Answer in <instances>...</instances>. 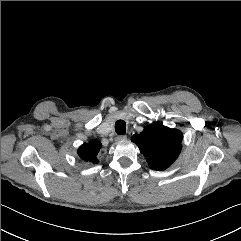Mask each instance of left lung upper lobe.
I'll return each instance as SVG.
<instances>
[{"label": "left lung upper lobe", "instance_id": "5c2ea615", "mask_svg": "<svg viewBox=\"0 0 241 241\" xmlns=\"http://www.w3.org/2000/svg\"><path fill=\"white\" fill-rule=\"evenodd\" d=\"M182 133L162 124L149 125L140 134L132 137L146 157L148 165L153 170H165L178 157L182 148Z\"/></svg>", "mask_w": 241, "mask_h": 241}]
</instances>
